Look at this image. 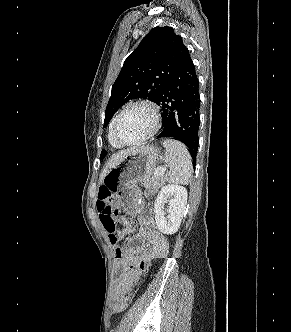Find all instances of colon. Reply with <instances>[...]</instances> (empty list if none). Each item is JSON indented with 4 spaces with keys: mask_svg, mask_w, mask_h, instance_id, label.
Returning a JSON list of instances; mask_svg holds the SVG:
<instances>
[{
    "mask_svg": "<svg viewBox=\"0 0 291 332\" xmlns=\"http://www.w3.org/2000/svg\"><path fill=\"white\" fill-rule=\"evenodd\" d=\"M97 208L100 221L108 234L110 242L116 244L121 238L116 221L118 211L115 207L113 196L107 188L100 189L98 193ZM131 295V293L126 294L114 301L112 304L113 312L123 311L127 307Z\"/></svg>",
    "mask_w": 291,
    "mask_h": 332,
    "instance_id": "5ec220e1",
    "label": "colon"
}]
</instances>
